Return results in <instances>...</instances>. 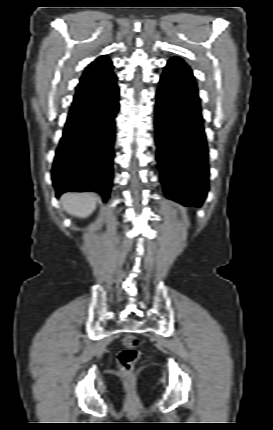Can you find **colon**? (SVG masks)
Listing matches in <instances>:
<instances>
[{
  "mask_svg": "<svg viewBox=\"0 0 273 430\" xmlns=\"http://www.w3.org/2000/svg\"><path fill=\"white\" fill-rule=\"evenodd\" d=\"M124 349L118 354V366L122 375L126 379L133 377L134 367L140 358V350L138 349L139 340L136 336L128 334L123 338Z\"/></svg>",
  "mask_w": 273,
  "mask_h": 430,
  "instance_id": "5ec220e1",
  "label": "colon"
}]
</instances>
